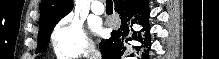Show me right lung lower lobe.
<instances>
[{"label":"right lung lower lobe","instance_id":"right-lung-lower-lobe-1","mask_svg":"<svg viewBox=\"0 0 219 59\" xmlns=\"http://www.w3.org/2000/svg\"><path fill=\"white\" fill-rule=\"evenodd\" d=\"M115 9L120 13L121 26L118 31L111 33V38L102 40L99 44L102 52V59H121V56L127 50V42L131 39H140L143 43L142 57L148 58V49L150 43V27L148 23L149 7L147 0H114ZM139 20L143 25V34L137 36L134 34L132 25Z\"/></svg>","mask_w":219,"mask_h":59}]
</instances>
